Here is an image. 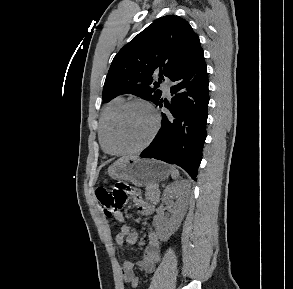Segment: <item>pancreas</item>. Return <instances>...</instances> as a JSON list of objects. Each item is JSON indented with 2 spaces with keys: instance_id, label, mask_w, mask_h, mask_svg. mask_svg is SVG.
Listing matches in <instances>:
<instances>
[{
  "instance_id": "obj_1",
  "label": "pancreas",
  "mask_w": 293,
  "mask_h": 289,
  "mask_svg": "<svg viewBox=\"0 0 293 289\" xmlns=\"http://www.w3.org/2000/svg\"><path fill=\"white\" fill-rule=\"evenodd\" d=\"M159 190L157 185H148L146 187L145 198L146 200L157 203L159 201Z\"/></svg>"
}]
</instances>
